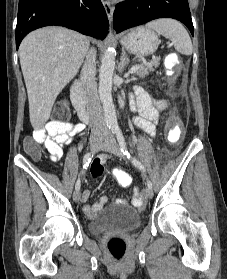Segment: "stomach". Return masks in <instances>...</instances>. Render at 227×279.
I'll return each instance as SVG.
<instances>
[{
  "label": "stomach",
  "mask_w": 227,
  "mask_h": 279,
  "mask_svg": "<svg viewBox=\"0 0 227 279\" xmlns=\"http://www.w3.org/2000/svg\"><path fill=\"white\" fill-rule=\"evenodd\" d=\"M120 42L128 52L138 56L153 54L159 45V39L156 33L143 27L132 30L123 36Z\"/></svg>",
  "instance_id": "obj_1"
}]
</instances>
